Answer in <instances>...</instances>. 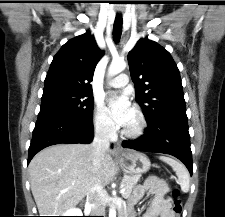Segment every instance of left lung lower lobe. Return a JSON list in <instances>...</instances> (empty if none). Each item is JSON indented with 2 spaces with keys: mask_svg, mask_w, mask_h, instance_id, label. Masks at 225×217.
<instances>
[{
  "mask_svg": "<svg viewBox=\"0 0 225 217\" xmlns=\"http://www.w3.org/2000/svg\"><path fill=\"white\" fill-rule=\"evenodd\" d=\"M145 134L134 141H124L123 147L139 151L170 154L181 160L193 173L190 135L186 114L169 115L148 122Z\"/></svg>",
  "mask_w": 225,
  "mask_h": 217,
  "instance_id": "left-lung-lower-lobe-1",
  "label": "left lung lower lobe"
}]
</instances>
